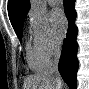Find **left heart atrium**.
<instances>
[{
  "mask_svg": "<svg viewBox=\"0 0 89 89\" xmlns=\"http://www.w3.org/2000/svg\"><path fill=\"white\" fill-rule=\"evenodd\" d=\"M50 17L56 36L61 38L67 29V20L63 11L59 8H55L52 10Z\"/></svg>",
  "mask_w": 89,
  "mask_h": 89,
  "instance_id": "39dd6f15",
  "label": "left heart atrium"
}]
</instances>
